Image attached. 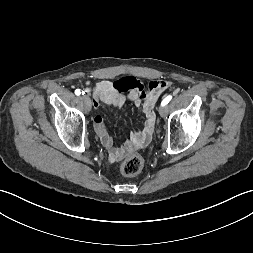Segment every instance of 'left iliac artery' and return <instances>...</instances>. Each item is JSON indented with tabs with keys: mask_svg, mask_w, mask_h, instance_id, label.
<instances>
[{
	"mask_svg": "<svg viewBox=\"0 0 253 253\" xmlns=\"http://www.w3.org/2000/svg\"><path fill=\"white\" fill-rule=\"evenodd\" d=\"M171 99H172V96H171V95L165 97V98L163 99V101L161 102V105H162V106L167 105Z\"/></svg>",
	"mask_w": 253,
	"mask_h": 253,
	"instance_id": "left-iliac-artery-1",
	"label": "left iliac artery"
}]
</instances>
